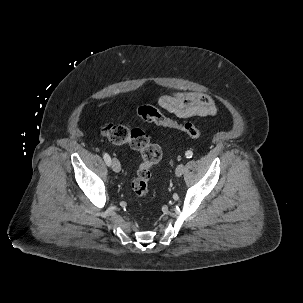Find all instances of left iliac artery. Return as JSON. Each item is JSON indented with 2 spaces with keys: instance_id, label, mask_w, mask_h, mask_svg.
Returning <instances> with one entry per match:
<instances>
[{
  "instance_id": "obj_1",
  "label": "left iliac artery",
  "mask_w": 303,
  "mask_h": 303,
  "mask_svg": "<svg viewBox=\"0 0 303 303\" xmlns=\"http://www.w3.org/2000/svg\"><path fill=\"white\" fill-rule=\"evenodd\" d=\"M186 158H191L193 156V152L192 151H187L185 153Z\"/></svg>"
}]
</instances>
